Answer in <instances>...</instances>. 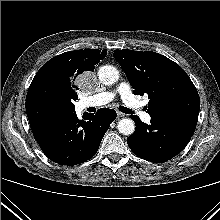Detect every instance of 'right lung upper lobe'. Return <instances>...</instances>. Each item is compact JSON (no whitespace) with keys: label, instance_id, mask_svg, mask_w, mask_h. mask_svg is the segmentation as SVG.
Masks as SVG:
<instances>
[{"label":"right lung upper lobe","instance_id":"cb5924a9","mask_svg":"<svg viewBox=\"0 0 220 220\" xmlns=\"http://www.w3.org/2000/svg\"><path fill=\"white\" fill-rule=\"evenodd\" d=\"M107 55L106 50L84 49L62 53L46 62L37 72L33 81L52 77L62 81H74L86 71H94V66Z\"/></svg>","mask_w":220,"mask_h":220}]
</instances>
